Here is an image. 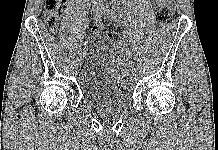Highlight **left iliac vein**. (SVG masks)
Here are the masks:
<instances>
[{
	"instance_id": "1",
	"label": "left iliac vein",
	"mask_w": 218,
	"mask_h": 150,
	"mask_svg": "<svg viewBox=\"0 0 218 150\" xmlns=\"http://www.w3.org/2000/svg\"><path fill=\"white\" fill-rule=\"evenodd\" d=\"M115 12L110 9V7L106 4L103 7L102 14L107 17L108 19L114 20V17L112 16ZM128 76H133V71H128Z\"/></svg>"
}]
</instances>
